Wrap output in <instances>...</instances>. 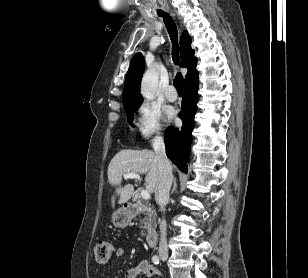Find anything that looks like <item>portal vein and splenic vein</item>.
<instances>
[{"mask_svg":"<svg viewBox=\"0 0 308 278\" xmlns=\"http://www.w3.org/2000/svg\"><path fill=\"white\" fill-rule=\"evenodd\" d=\"M123 177L125 179H136V180H140L141 181V177L139 174L137 173H132V172H129V173H125L123 174ZM141 197L145 200H148L150 199V193L148 190H142L141 191Z\"/></svg>","mask_w":308,"mask_h":278,"instance_id":"1","label":"portal vein and splenic vein"}]
</instances>
